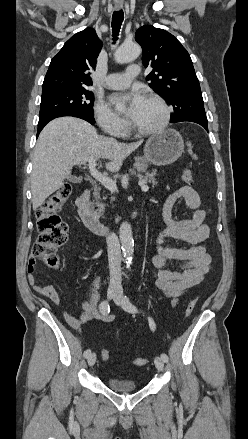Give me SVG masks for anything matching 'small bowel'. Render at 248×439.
<instances>
[{
	"mask_svg": "<svg viewBox=\"0 0 248 439\" xmlns=\"http://www.w3.org/2000/svg\"><path fill=\"white\" fill-rule=\"evenodd\" d=\"M178 199H184L186 205L195 210L191 218H173L172 208ZM200 205L201 200L197 192L190 186H182L166 198L162 207V218L166 227L156 239V254L152 257L151 263L156 288L171 298L173 306L179 302L182 295L202 282L211 269L212 258L205 245L210 235V227L205 223L206 212L200 209ZM166 238L181 240L191 246L164 247L163 242ZM36 263L37 258L31 255L27 266L29 283L38 294L59 306L61 298L56 289L51 285H42L37 280ZM99 279L96 277L92 281L91 299L82 301L84 312L80 316L64 311V318L72 327H78L93 318L104 322L113 321L112 315H101L97 310Z\"/></svg>",
	"mask_w": 248,
	"mask_h": 439,
	"instance_id": "small-bowel-1",
	"label": "small bowel"
}]
</instances>
